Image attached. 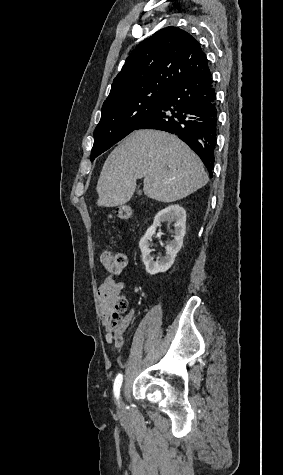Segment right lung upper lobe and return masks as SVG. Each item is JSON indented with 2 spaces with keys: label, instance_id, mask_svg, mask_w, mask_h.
Instances as JSON below:
<instances>
[{
  "label": "right lung upper lobe",
  "instance_id": "obj_1",
  "mask_svg": "<svg viewBox=\"0 0 283 475\" xmlns=\"http://www.w3.org/2000/svg\"><path fill=\"white\" fill-rule=\"evenodd\" d=\"M209 72L198 41L182 29L166 27L130 53L103 105L152 92H169L177 84Z\"/></svg>",
  "mask_w": 283,
  "mask_h": 475
}]
</instances>
